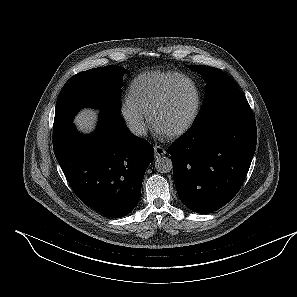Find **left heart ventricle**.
<instances>
[{
  "label": "left heart ventricle",
  "mask_w": 297,
  "mask_h": 297,
  "mask_svg": "<svg viewBox=\"0 0 297 297\" xmlns=\"http://www.w3.org/2000/svg\"><path fill=\"white\" fill-rule=\"evenodd\" d=\"M194 92L186 81L173 88L165 106L155 116V127L162 134L169 133L182 125L192 110Z\"/></svg>",
  "instance_id": "left-heart-ventricle-1"
}]
</instances>
